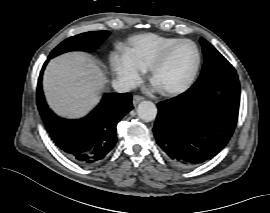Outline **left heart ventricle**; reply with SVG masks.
<instances>
[{
    "label": "left heart ventricle",
    "instance_id": "b2bd125f",
    "mask_svg": "<svg viewBox=\"0 0 270 213\" xmlns=\"http://www.w3.org/2000/svg\"><path fill=\"white\" fill-rule=\"evenodd\" d=\"M195 65L196 53L193 46L188 43L180 44L157 69L154 85L159 89L178 86L189 78Z\"/></svg>",
    "mask_w": 270,
    "mask_h": 213
}]
</instances>
